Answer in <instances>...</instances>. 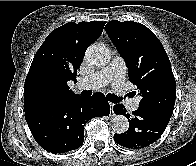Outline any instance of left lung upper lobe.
<instances>
[{"instance_id":"5c2ea615","label":"left lung upper lobe","mask_w":196,"mask_h":166,"mask_svg":"<svg viewBox=\"0 0 196 166\" xmlns=\"http://www.w3.org/2000/svg\"><path fill=\"white\" fill-rule=\"evenodd\" d=\"M105 30L128 67L129 80L140 90V108L172 115L176 82L167 53L143 24L109 21Z\"/></svg>"}]
</instances>
